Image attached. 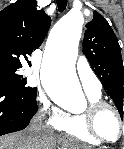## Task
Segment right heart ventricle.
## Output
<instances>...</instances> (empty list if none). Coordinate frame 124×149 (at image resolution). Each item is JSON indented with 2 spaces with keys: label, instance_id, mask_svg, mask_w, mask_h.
<instances>
[{
  "label": "right heart ventricle",
  "instance_id": "right-heart-ventricle-1",
  "mask_svg": "<svg viewBox=\"0 0 124 149\" xmlns=\"http://www.w3.org/2000/svg\"><path fill=\"white\" fill-rule=\"evenodd\" d=\"M87 95L90 101L101 100V93H87ZM59 130L63 131L68 136L78 141H81L93 146H97L101 144V142L97 141L88 133L85 127L82 113L67 114L64 125L61 128H59Z\"/></svg>",
  "mask_w": 124,
  "mask_h": 149
}]
</instances>
